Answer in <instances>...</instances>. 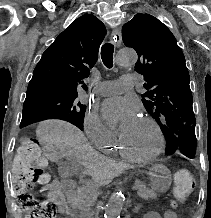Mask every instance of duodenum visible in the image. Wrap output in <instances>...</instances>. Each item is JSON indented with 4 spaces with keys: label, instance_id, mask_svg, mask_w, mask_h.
Returning a JSON list of instances; mask_svg holds the SVG:
<instances>
[{
    "label": "duodenum",
    "instance_id": "obj_1",
    "mask_svg": "<svg viewBox=\"0 0 211 218\" xmlns=\"http://www.w3.org/2000/svg\"><path fill=\"white\" fill-rule=\"evenodd\" d=\"M77 185L76 180L68 178L60 182V187L67 195H70Z\"/></svg>",
    "mask_w": 211,
    "mask_h": 218
}]
</instances>
